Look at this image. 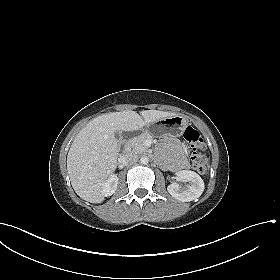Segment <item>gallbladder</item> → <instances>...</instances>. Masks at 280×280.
<instances>
[{"mask_svg":"<svg viewBox=\"0 0 280 280\" xmlns=\"http://www.w3.org/2000/svg\"><path fill=\"white\" fill-rule=\"evenodd\" d=\"M115 136H116L117 139H119V136H120V135H119L118 132H116V133H115Z\"/></svg>","mask_w":280,"mask_h":280,"instance_id":"obj_1","label":"gallbladder"}]
</instances>
